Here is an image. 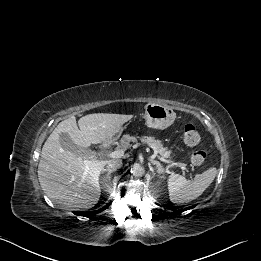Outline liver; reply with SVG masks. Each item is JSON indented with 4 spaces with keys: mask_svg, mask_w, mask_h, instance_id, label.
<instances>
[{
    "mask_svg": "<svg viewBox=\"0 0 261 261\" xmlns=\"http://www.w3.org/2000/svg\"><path fill=\"white\" fill-rule=\"evenodd\" d=\"M131 118V115L95 113L80 118L78 125L74 116L60 122L41 151L38 177L44 193L69 209L89 208L97 203L101 194L99 176L109 161L89 160L63 149L60 134L67 133L75 144L88 148L109 140ZM86 162L90 173L84 174Z\"/></svg>",
    "mask_w": 261,
    "mask_h": 261,
    "instance_id": "liver-1",
    "label": "liver"
}]
</instances>
